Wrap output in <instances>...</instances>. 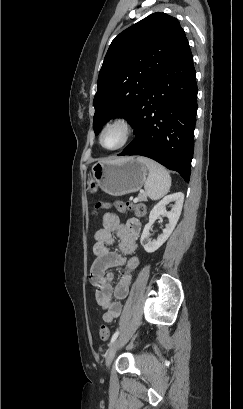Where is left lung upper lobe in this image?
I'll list each match as a JSON object with an SVG mask.
<instances>
[{
  "instance_id": "obj_1",
  "label": "left lung upper lobe",
  "mask_w": 243,
  "mask_h": 409,
  "mask_svg": "<svg viewBox=\"0 0 243 409\" xmlns=\"http://www.w3.org/2000/svg\"><path fill=\"white\" fill-rule=\"evenodd\" d=\"M186 40L178 20L153 13L114 38L98 76L93 128L116 117L132 125L151 83Z\"/></svg>"
}]
</instances>
